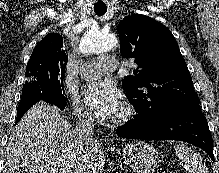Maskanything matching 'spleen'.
I'll list each match as a JSON object with an SVG mask.
<instances>
[{"label": "spleen", "mask_w": 219, "mask_h": 173, "mask_svg": "<svg viewBox=\"0 0 219 173\" xmlns=\"http://www.w3.org/2000/svg\"><path fill=\"white\" fill-rule=\"evenodd\" d=\"M175 152L189 173H208V168L203 164L201 156L191 148L180 143L175 147Z\"/></svg>", "instance_id": "3e777b00"}]
</instances>
